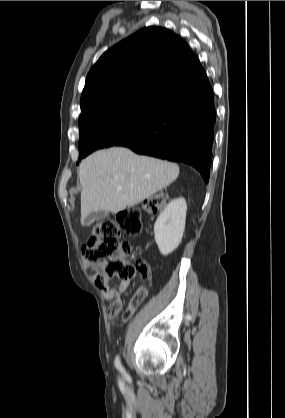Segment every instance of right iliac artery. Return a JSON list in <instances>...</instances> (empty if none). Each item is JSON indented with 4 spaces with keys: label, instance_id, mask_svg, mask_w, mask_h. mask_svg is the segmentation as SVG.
Here are the masks:
<instances>
[{
    "label": "right iliac artery",
    "instance_id": "1",
    "mask_svg": "<svg viewBox=\"0 0 285 418\" xmlns=\"http://www.w3.org/2000/svg\"><path fill=\"white\" fill-rule=\"evenodd\" d=\"M115 367H116L118 370H120V371L124 372V369H123V367H122V365H121V363H120V359H119V357H118V356H117V357H116V359H115Z\"/></svg>",
    "mask_w": 285,
    "mask_h": 418
}]
</instances>
